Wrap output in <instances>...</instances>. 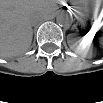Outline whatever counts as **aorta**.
<instances>
[{
    "instance_id": "obj_1",
    "label": "aorta",
    "mask_w": 103,
    "mask_h": 103,
    "mask_svg": "<svg viewBox=\"0 0 103 103\" xmlns=\"http://www.w3.org/2000/svg\"><path fill=\"white\" fill-rule=\"evenodd\" d=\"M56 21L61 27L67 28L72 24V16L70 13L62 11L57 15Z\"/></svg>"
}]
</instances>
